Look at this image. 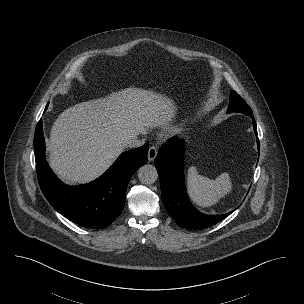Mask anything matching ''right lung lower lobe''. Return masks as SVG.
<instances>
[{
  "mask_svg": "<svg viewBox=\"0 0 304 304\" xmlns=\"http://www.w3.org/2000/svg\"><path fill=\"white\" fill-rule=\"evenodd\" d=\"M46 106L44 112L46 111ZM149 145L121 154L97 180L80 186L63 184L45 159V141L40 120L35 129L34 151L40 188L49 203L69 220L83 226L105 228L122 212L128 182L147 159Z\"/></svg>",
  "mask_w": 304,
  "mask_h": 304,
  "instance_id": "obj_1",
  "label": "right lung lower lobe"
}]
</instances>
